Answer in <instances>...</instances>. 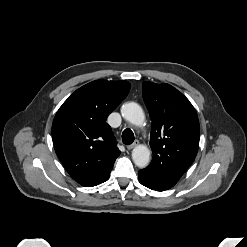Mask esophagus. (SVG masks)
Returning <instances> with one entry per match:
<instances>
[{"label": "esophagus", "mask_w": 247, "mask_h": 247, "mask_svg": "<svg viewBox=\"0 0 247 247\" xmlns=\"http://www.w3.org/2000/svg\"><path fill=\"white\" fill-rule=\"evenodd\" d=\"M138 144H139V141L135 140L131 145L127 146V149L131 150V149L135 148Z\"/></svg>", "instance_id": "1"}]
</instances>
